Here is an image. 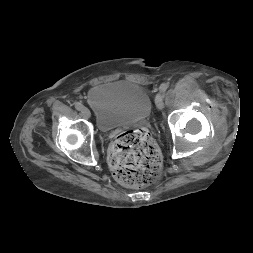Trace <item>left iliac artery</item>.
<instances>
[{
    "mask_svg": "<svg viewBox=\"0 0 253 253\" xmlns=\"http://www.w3.org/2000/svg\"><path fill=\"white\" fill-rule=\"evenodd\" d=\"M167 88H168V84H167V83H162V84L160 85V87H159V90H160L161 92H165V91L167 90Z\"/></svg>",
    "mask_w": 253,
    "mask_h": 253,
    "instance_id": "left-iliac-artery-1",
    "label": "left iliac artery"
}]
</instances>
